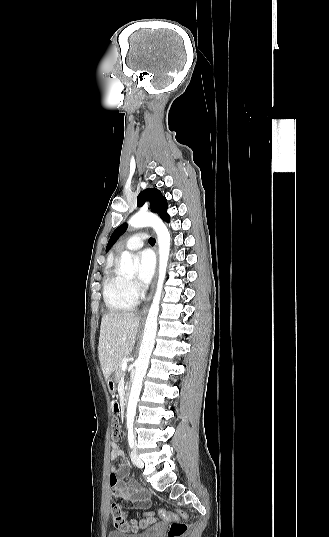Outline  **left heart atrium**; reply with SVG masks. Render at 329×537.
Wrapping results in <instances>:
<instances>
[{"label": "left heart atrium", "instance_id": "left-heart-atrium-1", "mask_svg": "<svg viewBox=\"0 0 329 537\" xmlns=\"http://www.w3.org/2000/svg\"><path fill=\"white\" fill-rule=\"evenodd\" d=\"M138 262L137 283L139 286L145 287L153 276L155 258L151 251L144 250L140 252Z\"/></svg>", "mask_w": 329, "mask_h": 537}]
</instances>
